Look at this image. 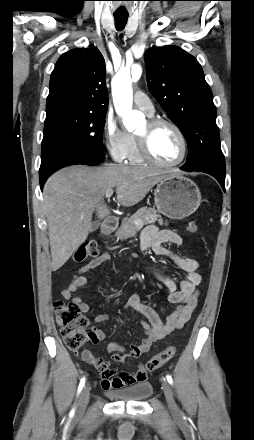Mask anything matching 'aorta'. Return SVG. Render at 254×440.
Returning <instances> with one entry per match:
<instances>
[{
    "instance_id": "obj_1",
    "label": "aorta",
    "mask_w": 254,
    "mask_h": 440,
    "mask_svg": "<svg viewBox=\"0 0 254 440\" xmlns=\"http://www.w3.org/2000/svg\"><path fill=\"white\" fill-rule=\"evenodd\" d=\"M142 75V68L140 65H135L132 69V78L130 67L120 69L113 77L112 95L116 113L122 117L125 128L132 132L141 123L143 119L142 113L132 110L133 104V80L138 81Z\"/></svg>"
}]
</instances>
